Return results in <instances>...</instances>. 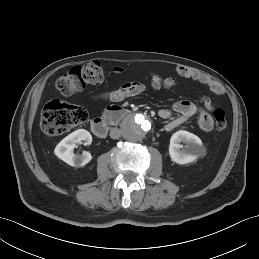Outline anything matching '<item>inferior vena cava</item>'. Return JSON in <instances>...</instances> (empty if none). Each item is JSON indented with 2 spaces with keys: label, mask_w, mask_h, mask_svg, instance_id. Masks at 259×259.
Segmentation results:
<instances>
[{
  "label": "inferior vena cava",
  "mask_w": 259,
  "mask_h": 259,
  "mask_svg": "<svg viewBox=\"0 0 259 259\" xmlns=\"http://www.w3.org/2000/svg\"><path fill=\"white\" fill-rule=\"evenodd\" d=\"M122 135V131L119 128H112L110 130V137L112 139H118L119 137H121Z\"/></svg>",
  "instance_id": "1"
}]
</instances>
